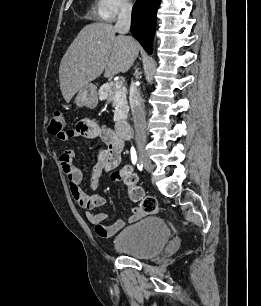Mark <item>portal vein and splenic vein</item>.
Segmentation results:
<instances>
[{"mask_svg":"<svg viewBox=\"0 0 261 306\" xmlns=\"http://www.w3.org/2000/svg\"><path fill=\"white\" fill-rule=\"evenodd\" d=\"M122 85H123L122 81H117V82L115 83V86H116L117 88L122 87Z\"/></svg>","mask_w":261,"mask_h":306,"instance_id":"1","label":"portal vein and splenic vein"}]
</instances>
